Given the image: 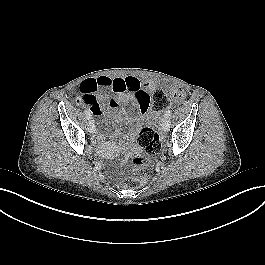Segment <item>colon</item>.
I'll return each mask as SVG.
<instances>
[{"label": "colon", "mask_w": 265, "mask_h": 265, "mask_svg": "<svg viewBox=\"0 0 265 265\" xmlns=\"http://www.w3.org/2000/svg\"><path fill=\"white\" fill-rule=\"evenodd\" d=\"M181 97L182 92L176 88L157 89L152 95V105L150 106L155 111H162L170 105L171 99ZM137 145L144 154H136L131 157L130 171L121 180V185L127 188H137L146 181L144 168L149 162L148 156L160 150V137L152 128L144 127L137 136Z\"/></svg>", "instance_id": "5ec220e1"}]
</instances>
